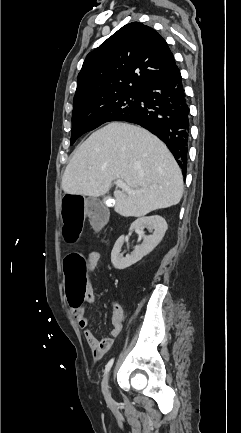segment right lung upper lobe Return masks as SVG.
<instances>
[{
	"label": "right lung upper lobe",
	"mask_w": 241,
	"mask_h": 433,
	"mask_svg": "<svg viewBox=\"0 0 241 433\" xmlns=\"http://www.w3.org/2000/svg\"><path fill=\"white\" fill-rule=\"evenodd\" d=\"M176 66L164 38L149 26L129 23L90 52L77 79L73 105L127 91H141Z\"/></svg>",
	"instance_id": "cb5924a9"
}]
</instances>
